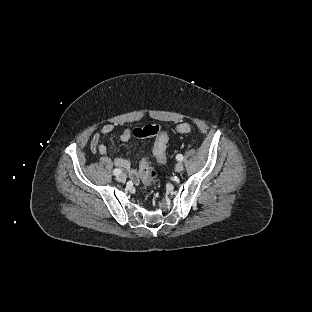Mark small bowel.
Returning <instances> with one entry per match:
<instances>
[{"instance_id": "small-bowel-1", "label": "small bowel", "mask_w": 312, "mask_h": 312, "mask_svg": "<svg viewBox=\"0 0 312 312\" xmlns=\"http://www.w3.org/2000/svg\"><path fill=\"white\" fill-rule=\"evenodd\" d=\"M115 128V125L112 123H106L102 126V128L95 132L90 140V149L94 153H98L101 156H107V147L100 142V139L113 132ZM141 129H131V128H125L123 131L119 134V139L122 142L129 141L133 136H140ZM167 131V130H162ZM111 160L117 167H121L127 171L129 174L130 179L135 183H139V175L138 172L132 167L131 162L125 158L118 157V156H112Z\"/></svg>"}]
</instances>
